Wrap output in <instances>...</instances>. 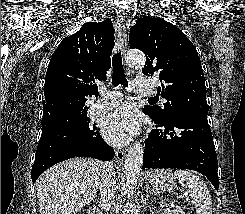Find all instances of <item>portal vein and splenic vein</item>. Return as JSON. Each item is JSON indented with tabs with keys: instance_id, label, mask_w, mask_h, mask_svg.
<instances>
[{
	"instance_id": "portal-vein-and-splenic-vein-1",
	"label": "portal vein and splenic vein",
	"mask_w": 245,
	"mask_h": 214,
	"mask_svg": "<svg viewBox=\"0 0 245 214\" xmlns=\"http://www.w3.org/2000/svg\"><path fill=\"white\" fill-rule=\"evenodd\" d=\"M182 198L185 199V200H188L187 194L184 193V194L182 195Z\"/></svg>"
}]
</instances>
